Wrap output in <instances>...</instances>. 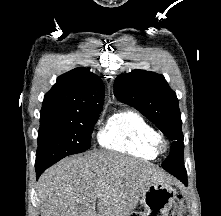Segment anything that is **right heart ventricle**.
<instances>
[{
  "label": "right heart ventricle",
  "instance_id": "e07e8e85",
  "mask_svg": "<svg viewBox=\"0 0 221 216\" xmlns=\"http://www.w3.org/2000/svg\"><path fill=\"white\" fill-rule=\"evenodd\" d=\"M156 135L151 124L137 111L121 110L113 113L98 134L99 145L115 153L142 159H154L152 146Z\"/></svg>",
  "mask_w": 221,
  "mask_h": 216
}]
</instances>
